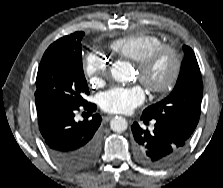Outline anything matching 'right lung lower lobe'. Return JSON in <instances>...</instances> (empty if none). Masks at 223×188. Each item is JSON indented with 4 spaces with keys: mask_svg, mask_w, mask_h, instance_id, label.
Instances as JSON below:
<instances>
[{
    "mask_svg": "<svg viewBox=\"0 0 223 188\" xmlns=\"http://www.w3.org/2000/svg\"><path fill=\"white\" fill-rule=\"evenodd\" d=\"M36 109L39 130L46 148L61 167L82 170L92 165L100 153L98 128L101 116L94 114L91 120L76 122L77 110L94 112L96 105L87 102L75 105L62 101L37 99Z\"/></svg>",
    "mask_w": 223,
    "mask_h": 188,
    "instance_id": "1",
    "label": "right lung lower lobe"
}]
</instances>
